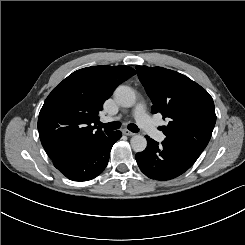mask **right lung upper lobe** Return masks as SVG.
Masks as SVG:
<instances>
[{
  "mask_svg": "<svg viewBox=\"0 0 245 245\" xmlns=\"http://www.w3.org/2000/svg\"><path fill=\"white\" fill-rule=\"evenodd\" d=\"M128 66H93L73 72L49 94L38 118L41 143L50 158L65 147L107 133L98 113L115 88L133 76Z\"/></svg>",
  "mask_w": 245,
  "mask_h": 245,
  "instance_id": "1",
  "label": "right lung upper lobe"
}]
</instances>
